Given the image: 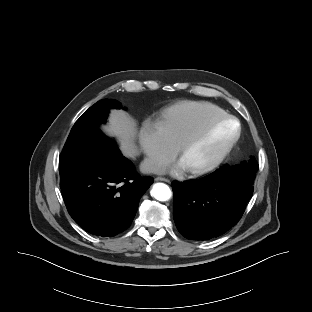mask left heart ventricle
<instances>
[{"label": "left heart ventricle", "instance_id": "left-heart-ventricle-1", "mask_svg": "<svg viewBox=\"0 0 312 312\" xmlns=\"http://www.w3.org/2000/svg\"><path fill=\"white\" fill-rule=\"evenodd\" d=\"M236 129L233 122H225L216 126L201 141L191 146L181 157L188 168L207 162L232 137Z\"/></svg>", "mask_w": 312, "mask_h": 312}]
</instances>
